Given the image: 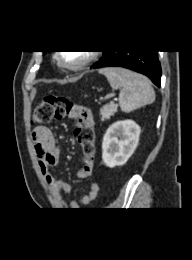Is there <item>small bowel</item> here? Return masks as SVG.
<instances>
[{"mask_svg": "<svg viewBox=\"0 0 192 260\" xmlns=\"http://www.w3.org/2000/svg\"><path fill=\"white\" fill-rule=\"evenodd\" d=\"M90 121L94 126L91 111ZM31 136L39 159L40 170L57 206L59 208H68L71 210L79 208V203L72 198L71 185L56 177L52 172V168L58 164L61 155L53 132L47 126L40 125L32 130ZM93 167V161L84 163L83 167L77 173L78 178L86 179L90 177L93 173ZM98 192L99 185L97 183H92L87 193L82 196L81 204L84 206L91 204L96 199Z\"/></svg>", "mask_w": 192, "mask_h": 260, "instance_id": "1", "label": "small bowel"}]
</instances>
